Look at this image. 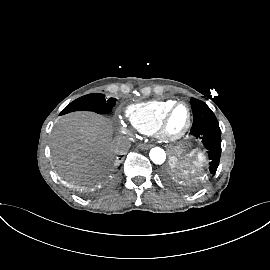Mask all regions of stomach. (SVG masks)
<instances>
[{
  "mask_svg": "<svg viewBox=\"0 0 270 270\" xmlns=\"http://www.w3.org/2000/svg\"><path fill=\"white\" fill-rule=\"evenodd\" d=\"M190 146L189 143H183L178 146H174L170 149L171 157H170V164L173 168L174 172L177 174L185 173L186 167L183 165V154L186 149Z\"/></svg>",
  "mask_w": 270,
  "mask_h": 270,
  "instance_id": "0dacf381",
  "label": "stomach"
}]
</instances>
